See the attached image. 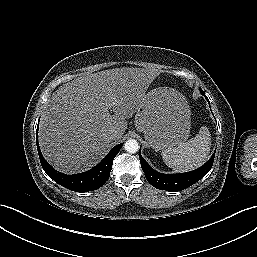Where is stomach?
<instances>
[{
  "label": "stomach",
  "instance_id": "stomach-1",
  "mask_svg": "<svg viewBox=\"0 0 257 257\" xmlns=\"http://www.w3.org/2000/svg\"><path fill=\"white\" fill-rule=\"evenodd\" d=\"M190 116V107L180 92L159 87L149 91L138 106L135 127L155 151L165 150L188 139Z\"/></svg>",
  "mask_w": 257,
  "mask_h": 257
}]
</instances>
